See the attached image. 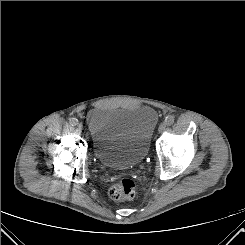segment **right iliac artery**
Returning <instances> with one entry per match:
<instances>
[{
    "label": "right iliac artery",
    "instance_id": "82829eb1",
    "mask_svg": "<svg viewBox=\"0 0 245 245\" xmlns=\"http://www.w3.org/2000/svg\"><path fill=\"white\" fill-rule=\"evenodd\" d=\"M69 123L71 126H76L78 124V120L76 118H71Z\"/></svg>",
    "mask_w": 245,
    "mask_h": 245
}]
</instances>
